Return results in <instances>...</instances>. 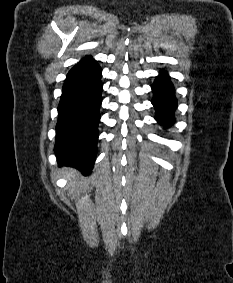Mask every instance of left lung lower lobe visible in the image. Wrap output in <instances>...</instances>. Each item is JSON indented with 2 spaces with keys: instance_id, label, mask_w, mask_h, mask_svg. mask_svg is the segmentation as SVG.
I'll use <instances>...</instances> for the list:
<instances>
[{
  "instance_id": "1",
  "label": "left lung lower lobe",
  "mask_w": 233,
  "mask_h": 283,
  "mask_svg": "<svg viewBox=\"0 0 233 283\" xmlns=\"http://www.w3.org/2000/svg\"><path fill=\"white\" fill-rule=\"evenodd\" d=\"M160 74L152 86L154 92L152 104L156 108L155 119L157 122L163 126H170L174 123L177 100L174 96V87L169 81L167 73L161 71Z\"/></svg>"
}]
</instances>
